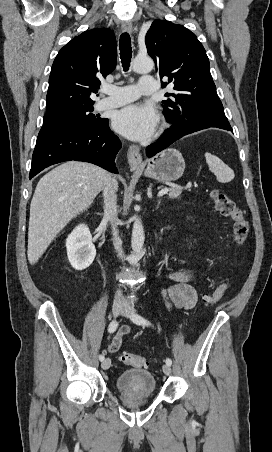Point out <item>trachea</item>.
Wrapping results in <instances>:
<instances>
[{"label": "trachea", "mask_w": 272, "mask_h": 452, "mask_svg": "<svg viewBox=\"0 0 272 452\" xmlns=\"http://www.w3.org/2000/svg\"><path fill=\"white\" fill-rule=\"evenodd\" d=\"M119 46L123 69L124 71H128L132 57L131 39L128 33L125 32L121 34Z\"/></svg>", "instance_id": "3493384b"}]
</instances>
